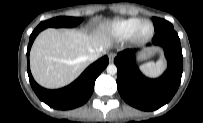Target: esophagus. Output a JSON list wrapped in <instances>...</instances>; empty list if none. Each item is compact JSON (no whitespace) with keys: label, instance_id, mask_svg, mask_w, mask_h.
Here are the masks:
<instances>
[{"label":"esophagus","instance_id":"34e87169","mask_svg":"<svg viewBox=\"0 0 203 123\" xmlns=\"http://www.w3.org/2000/svg\"><path fill=\"white\" fill-rule=\"evenodd\" d=\"M108 58H109L110 62H113L114 58H115V54L114 53H109Z\"/></svg>","mask_w":203,"mask_h":123}]
</instances>
